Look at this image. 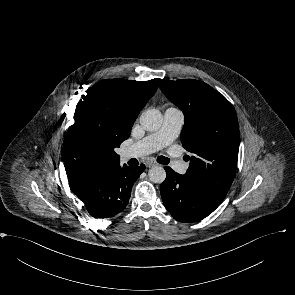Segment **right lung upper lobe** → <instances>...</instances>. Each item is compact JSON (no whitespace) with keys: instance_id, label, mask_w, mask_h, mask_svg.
Here are the masks:
<instances>
[{"instance_id":"right-lung-upper-lobe-1","label":"right lung upper lobe","mask_w":295,"mask_h":295,"mask_svg":"<svg viewBox=\"0 0 295 295\" xmlns=\"http://www.w3.org/2000/svg\"><path fill=\"white\" fill-rule=\"evenodd\" d=\"M120 80L124 96L138 114L154 95L160 81L157 78L144 82ZM114 148L108 140H89L70 126L63 144V160L73 192L95 171L120 163Z\"/></svg>"}]
</instances>
